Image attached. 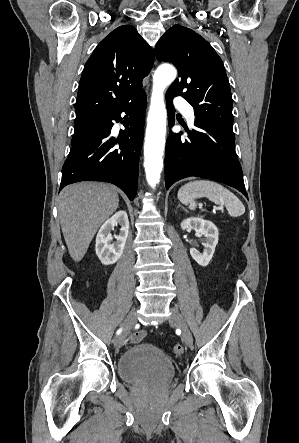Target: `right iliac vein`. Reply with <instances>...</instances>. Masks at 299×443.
I'll return each instance as SVG.
<instances>
[{"mask_svg": "<svg viewBox=\"0 0 299 443\" xmlns=\"http://www.w3.org/2000/svg\"><path fill=\"white\" fill-rule=\"evenodd\" d=\"M136 322H137V313H136V311H131L127 315V317H126V319L124 321V324H123L124 330H123V332L115 340L114 345H115L116 349H120L124 345L125 340H126L127 331L130 328H132L136 324Z\"/></svg>", "mask_w": 299, "mask_h": 443, "instance_id": "right-iliac-vein-1", "label": "right iliac vein"}]
</instances>
